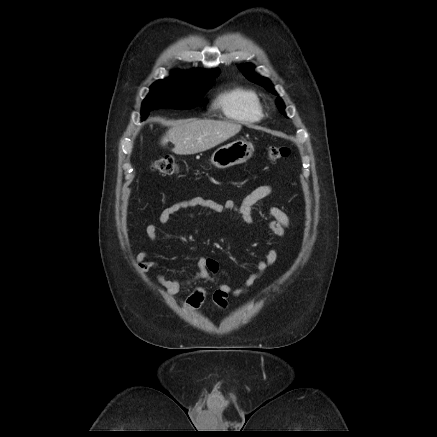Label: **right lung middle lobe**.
Returning <instances> with one entry per match:
<instances>
[{"label": "right lung middle lobe", "mask_w": 437, "mask_h": 437, "mask_svg": "<svg viewBox=\"0 0 437 437\" xmlns=\"http://www.w3.org/2000/svg\"><path fill=\"white\" fill-rule=\"evenodd\" d=\"M212 84L213 81L189 84L174 79L158 80L151 86L150 93L142 103V120L154 109H188L196 106Z\"/></svg>", "instance_id": "obj_1"}]
</instances>
